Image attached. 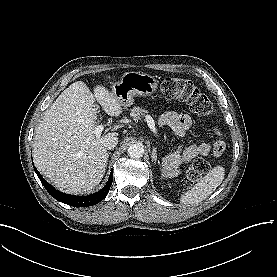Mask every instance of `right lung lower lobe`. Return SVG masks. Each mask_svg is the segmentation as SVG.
I'll list each match as a JSON object with an SVG mask.
<instances>
[{
  "instance_id": "right-lung-lower-lobe-1",
  "label": "right lung lower lobe",
  "mask_w": 277,
  "mask_h": 277,
  "mask_svg": "<svg viewBox=\"0 0 277 277\" xmlns=\"http://www.w3.org/2000/svg\"><path fill=\"white\" fill-rule=\"evenodd\" d=\"M34 170H35L36 174L38 175L42 185L45 187V189L49 192V194L51 196H53L55 199H57L60 202H63L65 204H68V205L74 206V207H88V206L98 204L106 197V195L110 189V186L112 184V181H113V171H111L109 180H108L107 184L104 186V188H102L100 191H98L94 194L80 197V196L64 194L62 192H59L58 190H56L54 187H52L48 182H46L43 179V177L37 171L35 166H34Z\"/></svg>"
}]
</instances>
